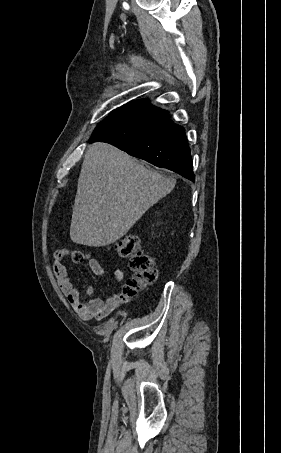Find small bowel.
Masks as SVG:
<instances>
[{
  "mask_svg": "<svg viewBox=\"0 0 281 453\" xmlns=\"http://www.w3.org/2000/svg\"><path fill=\"white\" fill-rule=\"evenodd\" d=\"M69 256L66 249L57 254L53 260V270L58 278L59 285L62 291L68 296V299L77 308L78 312L84 320L101 319L108 316L118 305L123 302L126 288L124 281L126 273L121 268H117L114 272V280L120 286L119 291L103 301L100 299H91L87 303H82L80 290L74 286L68 277V271L64 264L65 259ZM88 267L91 272L97 277H104L105 270L97 259H89ZM87 292L92 295L93 288L88 287Z\"/></svg>",
  "mask_w": 281,
  "mask_h": 453,
  "instance_id": "small-bowel-1",
  "label": "small bowel"
}]
</instances>
